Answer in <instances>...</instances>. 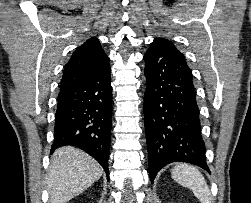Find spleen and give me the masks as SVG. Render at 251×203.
I'll return each mask as SVG.
<instances>
[{"label":"spleen","mask_w":251,"mask_h":203,"mask_svg":"<svg viewBox=\"0 0 251 203\" xmlns=\"http://www.w3.org/2000/svg\"><path fill=\"white\" fill-rule=\"evenodd\" d=\"M172 178L192 190L201 203H211V193L200 171L192 165L178 164L171 170Z\"/></svg>","instance_id":"1"}]
</instances>
